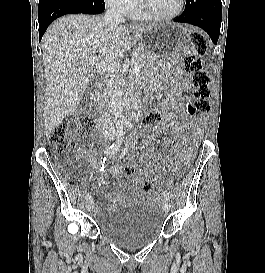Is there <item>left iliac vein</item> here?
Instances as JSON below:
<instances>
[{
    "instance_id": "left-iliac-vein-1",
    "label": "left iliac vein",
    "mask_w": 265,
    "mask_h": 273,
    "mask_svg": "<svg viewBox=\"0 0 265 273\" xmlns=\"http://www.w3.org/2000/svg\"><path fill=\"white\" fill-rule=\"evenodd\" d=\"M162 207H163V211H164L165 213H168V212H169V210H170V208H171V205H170V202H169L168 199H164V200H163Z\"/></svg>"
}]
</instances>
